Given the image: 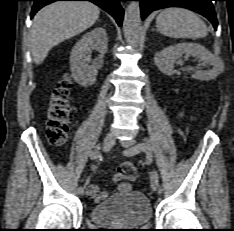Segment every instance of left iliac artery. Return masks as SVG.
Listing matches in <instances>:
<instances>
[{
	"instance_id": "obj_1",
	"label": "left iliac artery",
	"mask_w": 234,
	"mask_h": 231,
	"mask_svg": "<svg viewBox=\"0 0 234 231\" xmlns=\"http://www.w3.org/2000/svg\"><path fill=\"white\" fill-rule=\"evenodd\" d=\"M144 151L146 154L151 155L152 154V146L148 142L140 143L138 144L134 149L132 150H126L124 152L125 155H133L136 154V152Z\"/></svg>"
}]
</instances>
